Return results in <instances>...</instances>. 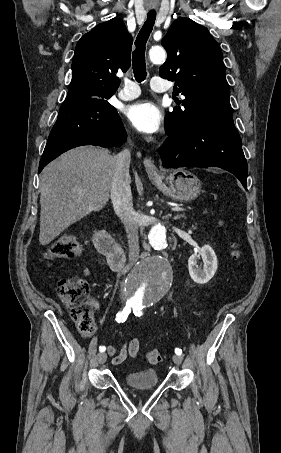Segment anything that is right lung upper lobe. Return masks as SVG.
I'll list each match as a JSON object with an SVG mask.
<instances>
[{
  "instance_id": "cb5924a9",
  "label": "right lung upper lobe",
  "mask_w": 281,
  "mask_h": 453,
  "mask_svg": "<svg viewBox=\"0 0 281 453\" xmlns=\"http://www.w3.org/2000/svg\"><path fill=\"white\" fill-rule=\"evenodd\" d=\"M133 39L123 21L113 18L97 25L78 41L66 101H106L117 90V72L130 67Z\"/></svg>"
}]
</instances>
